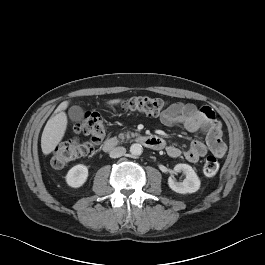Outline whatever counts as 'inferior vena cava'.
<instances>
[{
  "instance_id": "inferior-vena-cava-1",
  "label": "inferior vena cava",
  "mask_w": 265,
  "mask_h": 265,
  "mask_svg": "<svg viewBox=\"0 0 265 265\" xmlns=\"http://www.w3.org/2000/svg\"><path fill=\"white\" fill-rule=\"evenodd\" d=\"M126 149L124 147H116L110 151L111 158H118L125 155Z\"/></svg>"
}]
</instances>
